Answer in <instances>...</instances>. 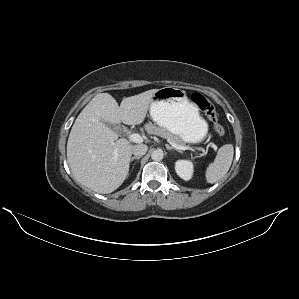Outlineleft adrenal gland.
I'll list each match as a JSON object with an SVG mask.
<instances>
[{
  "instance_id": "1",
  "label": "left adrenal gland",
  "mask_w": 299,
  "mask_h": 299,
  "mask_svg": "<svg viewBox=\"0 0 299 299\" xmlns=\"http://www.w3.org/2000/svg\"><path fill=\"white\" fill-rule=\"evenodd\" d=\"M166 148H167V150H176L177 152H180V153H181L180 150L175 149V148H173V147H171V146H169V145H167Z\"/></svg>"
}]
</instances>
